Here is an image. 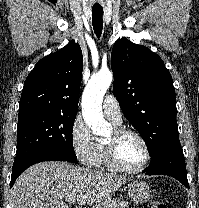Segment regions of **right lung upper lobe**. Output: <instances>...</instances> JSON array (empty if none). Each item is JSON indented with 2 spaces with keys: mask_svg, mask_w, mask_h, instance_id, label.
<instances>
[{
  "mask_svg": "<svg viewBox=\"0 0 199 208\" xmlns=\"http://www.w3.org/2000/svg\"><path fill=\"white\" fill-rule=\"evenodd\" d=\"M83 56L78 43L39 60L25 80L19 112L77 113Z\"/></svg>",
  "mask_w": 199,
  "mask_h": 208,
  "instance_id": "cb5924a9",
  "label": "right lung upper lobe"
}]
</instances>
